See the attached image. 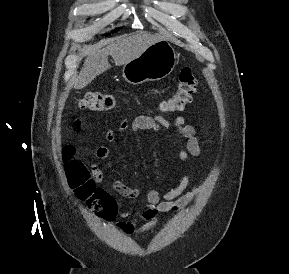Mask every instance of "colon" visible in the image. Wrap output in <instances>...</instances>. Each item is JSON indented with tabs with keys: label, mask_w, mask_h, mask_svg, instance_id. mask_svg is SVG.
Listing matches in <instances>:
<instances>
[{
	"label": "colon",
	"mask_w": 289,
	"mask_h": 274,
	"mask_svg": "<svg viewBox=\"0 0 289 274\" xmlns=\"http://www.w3.org/2000/svg\"><path fill=\"white\" fill-rule=\"evenodd\" d=\"M197 79L190 68H183L178 77L174 94L160 104L163 112L182 111L190 103L196 90ZM80 106L89 111H108L116 106L113 95L101 92H89L80 101ZM74 148H63V160L69 183L77 196L87 203L98 215L110 218L115 213V201L107 192L96 186L91 172L80 161L73 160Z\"/></svg>",
	"instance_id": "1"
}]
</instances>
